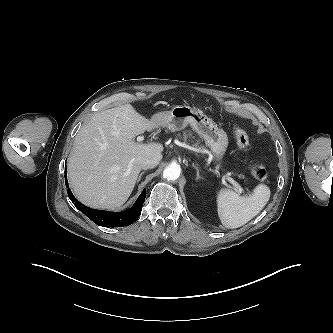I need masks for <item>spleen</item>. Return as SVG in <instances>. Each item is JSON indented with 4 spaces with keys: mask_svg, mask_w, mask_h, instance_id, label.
Wrapping results in <instances>:
<instances>
[{
    "mask_svg": "<svg viewBox=\"0 0 333 333\" xmlns=\"http://www.w3.org/2000/svg\"><path fill=\"white\" fill-rule=\"evenodd\" d=\"M270 189L264 184L255 187L250 196H239L230 189L217 195V211L221 223L230 229L239 228L255 217L267 204Z\"/></svg>",
    "mask_w": 333,
    "mask_h": 333,
    "instance_id": "obj_1",
    "label": "spleen"
}]
</instances>
